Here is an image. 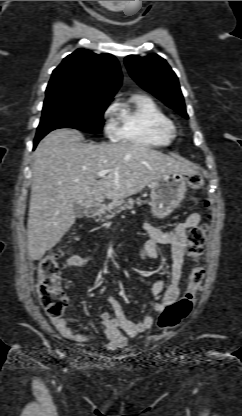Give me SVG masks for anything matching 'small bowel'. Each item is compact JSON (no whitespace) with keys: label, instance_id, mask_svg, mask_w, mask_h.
Listing matches in <instances>:
<instances>
[{"label":"small bowel","instance_id":"obj_1","mask_svg":"<svg viewBox=\"0 0 242 416\" xmlns=\"http://www.w3.org/2000/svg\"><path fill=\"white\" fill-rule=\"evenodd\" d=\"M200 221L201 216L194 212L189 214L185 220L177 223L169 231H162L149 222L144 223V230L149 238L140 249L139 256L141 258H155L157 257V247L159 245H169L173 259L171 280L167 284L164 279H159L152 285L151 294L155 300L152 305V313L139 322L128 320L125 317L120 302L113 295L108 296L107 300L113 309V315L109 312H104L101 315V324L108 339L106 344L108 350L120 349L126 345L127 337H135L149 330L154 324L155 317L160 315L167 305L172 304L178 298L187 242V231L191 227L199 224ZM95 260L93 256L72 255L67 258L66 266L70 268L84 267L92 264ZM51 320L56 329L66 339L82 345H87L94 339L88 333H79L72 330L63 317H51Z\"/></svg>","mask_w":242,"mask_h":416}]
</instances>
